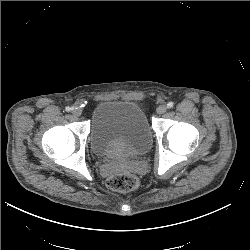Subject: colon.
Segmentation results:
<instances>
[{
  "label": "colon",
  "mask_w": 250,
  "mask_h": 250,
  "mask_svg": "<svg viewBox=\"0 0 250 250\" xmlns=\"http://www.w3.org/2000/svg\"><path fill=\"white\" fill-rule=\"evenodd\" d=\"M140 185V178L132 173H118L112 175L107 180V187L115 192L127 193L136 189Z\"/></svg>",
  "instance_id": "obj_1"
}]
</instances>
